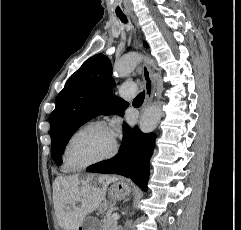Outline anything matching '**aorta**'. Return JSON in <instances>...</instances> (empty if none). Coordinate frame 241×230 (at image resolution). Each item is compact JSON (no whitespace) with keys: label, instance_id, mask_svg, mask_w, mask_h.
<instances>
[{"label":"aorta","instance_id":"1","mask_svg":"<svg viewBox=\"0 0 241 230\" xmlns=\"http://www.w3.org/2000/svg\"><path fill=\"white\" fill-rule=\"evenodd\" d=\"M143 58H144L143 56L136 53H131L122 57L120 60L114 63V66H113L114 76L116 77L128 76L136 68L138 62ZM150 63H153V61L150 60ZM161 116H162V109L160 104L152 105L146 108L140 119V123H139L140 130L143 133L153 132L157 127L161 119Z\"/></svg>","mask_w":241,"mask_h":230}]
</instances>
